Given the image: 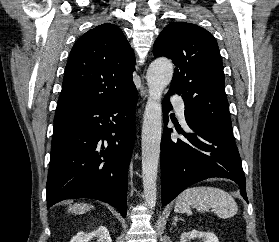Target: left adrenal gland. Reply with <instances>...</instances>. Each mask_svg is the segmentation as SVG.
Here are the masks:
<instances>
[{"mask_svg": "<svg viewBox=\"0 0 279 242\" xmlns=\"http://www.w3.org/2000/svg\"><path fill=\"white\" fill-rule=\"evenodd\" d=\"M178 220H182V219H180V218H178L177 216H175V217H174V222H173V224L176 225V223H177Z\"/></svg>", "mask_w": 279, "mask_h": 242, "instance_id": "obj_1", "label": "left adrenal gland"}]
</instances>
